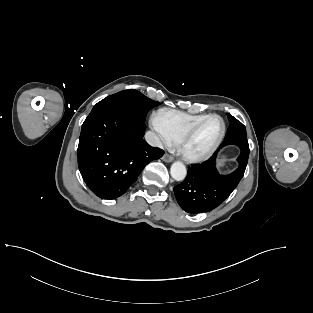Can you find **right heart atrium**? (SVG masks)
<instances>
[{"label": "right heart atrium", "mask_w": 313, "mask_h": 313, "mask_svg": "<svg viewBox=\"0 0 313 313\" xmlns=\"http://www.w3.org/2000/svg\"><path fill=\"white\" fill-rule=\"evenodd\" d=\"M152 127L157 131L158 133V141H159V144L161 146H170L172 145L171 141L167 138V136L163 133V131L160 129V127L158 126V123H157V119H156V115L153 116L152 118Z\"/></svg>", "instance_id": "obj_1"}]
</instances>
